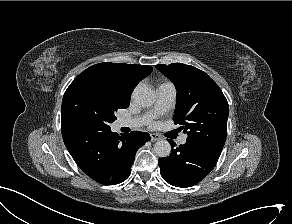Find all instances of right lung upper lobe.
<instances>
[{
  "label": "right lung upper lobe",
  "mask_w": 292,
  "mask_h": 224,
  "mask_svg": "<svg viewBox=\"0 0 292 224\" xmlns=\"http://www.w3.org/2000/svg\"><path fill=\"white\" fill-rule=\"evenodd\" d=\"M87 70L101 71L110 86L124 100L130 102L131 94L136 85L148 76L153 68L147 65H128L123 63H99Z\"/></svg>",
  "instance_id": "1"
}]
</instances>
